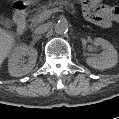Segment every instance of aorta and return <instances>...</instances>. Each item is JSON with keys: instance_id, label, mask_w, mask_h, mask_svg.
<instances>
[{"instance_id": "aorta-1", "label": "aorta", "mask_w": 119, "mask_h": 119, "mask_svg": "<svg viewBox=\"0 0 119 119\" xmlns=\"http://www.w3.org/2000/svg\"><path fill=\"white\" fill-rule=\"evenodd\" d=\"M69 25L67 21L65 20H59L55 25H54V30L57 34H64L68 31Z\"/></svg>"}]
</instances>
